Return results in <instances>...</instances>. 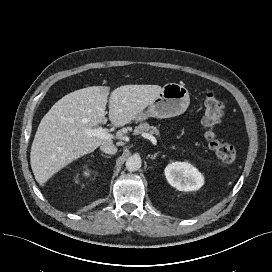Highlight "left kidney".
Listing matches in <instances>:
<instances>
[{"label": "left kidney", "mask_w": 272, "mask_h": 272, "mask_svg": "<svg viewBox=\"0 0 272 272\" xmlns=\"http://www.w3.org/2000/svg\"><path fill=\"white\" fill-rule=\"evenodd\" d=\"M164 172L168 183L179 191H196L204 184L203 175L189 162H172Z\"/></svg>", "instance_id": "obj_1"}]
</instances>
